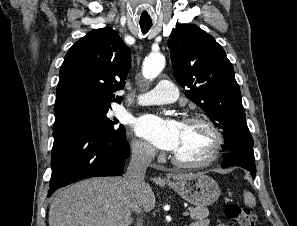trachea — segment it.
Returning a JSON list of instances; mask_svg holds the SVG:
<instances>
[{"instance_id":"obj_1","label":"trachea","mask_w":297,"mask_h":226,"mask_svg":"<svg viewBox=\"0 0 297 226\" xmlns=\"http://www.w3.org/2000/svg\"><path fill=\"white\" fill-rule=\"evenodd\" d=\"M151 26H152L151 22H140V27L143 34H146L151 28Z\"/></svg>"}]
</instances>
